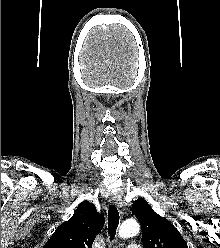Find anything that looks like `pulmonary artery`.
Returning a JSON list of instances; mask_svg holds the SVG:
<instances>
[{
  "label": "pulmonary artery",
  "mask_w": 220,
  "mask_h": 248,
  "mask_svg": "<svg viewBox=\"0 0 220 248\" xmlns=\"http://www.w3.org/2000/svg\"><path fill=\"white\" fill-rule=\"evenodd\" d=\"M128 248H141V247L137 244H131L128 246Z\"/></svg>",
  "instance_id": "1"
}]
</instances>
